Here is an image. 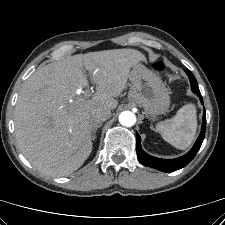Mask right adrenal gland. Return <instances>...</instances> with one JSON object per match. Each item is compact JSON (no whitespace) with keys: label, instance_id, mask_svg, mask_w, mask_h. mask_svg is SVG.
Here are the masks:
<instances>
[{"label":"right adrenal gland","instance_id":"1","mask_svg":"<svg viewBox=\"0 0 225 225\" xmlns=\"http://www.w3.org/2000/svg\"><path fill=\"white\" fill-rule=\"evenodd\" d=\"M101 123H99V124H95L94 126H93V130H92V140H95L96 139V132H97V130H98V128L99 127H101Z\"/></svg>","mask_w":225,"mask_h":225}]
</instances>
